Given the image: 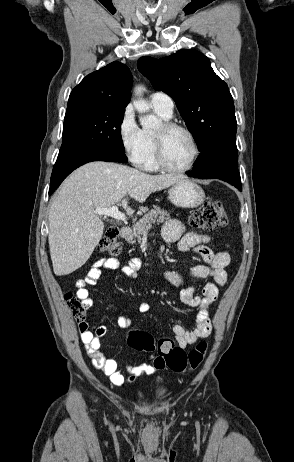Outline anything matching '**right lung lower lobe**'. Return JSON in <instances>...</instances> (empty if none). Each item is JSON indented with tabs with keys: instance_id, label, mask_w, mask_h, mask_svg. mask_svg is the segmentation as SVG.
Returning <instances> with one entry per match:
<instances>
[{
	"instance_id": "obj_1",
	"label": "right lung lower lobe",
	"mask_w": 294,
	"mask_h": 462,
	"mask_svg": "<svg viewBox=\"0 0 294 462\" xmlns=\"http://www.w3.org/2000/svg\"><path fill=\"white\" fill-rule=\"evenodd\" d=\"M92 161H111V162H127L128 159L124 152L120 151H99L87 154H79L65 157L56 161L51 175V187L49 195H51L62 181L79 166Z\"/></svg>"
}]
</instances>
